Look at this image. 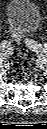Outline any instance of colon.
<instances>
[{"mask_svg":"<svg viewBox=\"0 0 47 129\" xmlns=\"http://www.w3.org/2000/svg\"><path fill=\"white\" fill-rule=\"evenodd\" d=\"M10 33L12 35V37L16 40V41H20V35L14 31L13 29H10ZM29 45H31L30 41L27 42Z\"/></svg>","mask_w":47,"mask_h":129,"instance_id":"1","label":"colon"}]
</instances>
